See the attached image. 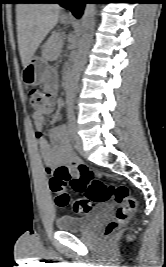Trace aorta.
<instances>
[{
  "label": "aorta",
  "mask_w": 166,
  "mask_h": 267,
  "mask_svg": "<svg viewBox=\"0 0 166 267\" xmlns=\"http://www.w3.org/2000/svg\"><path fill=\"white\" fill-rule=\"evenodd\" d=\"M95 8L96 6L94 3H87L85 5L84 12L82 15L80 33H79L80 39L73 60V65L68 85V92H67V101L69 107H72L73 105L75 90L77 88L79 76L84 63L85 51L92 37V31L94 28V21H95Z\"/></svg>",
  "instance_id": "1"
}]
</instances>
